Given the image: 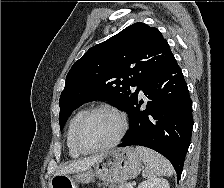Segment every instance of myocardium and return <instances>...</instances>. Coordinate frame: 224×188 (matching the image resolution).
Masks as SVG:
<instances>
[{"label":"myocardium","instance_id":"obj_1","mask_svg":"<svg viewBox=\"0 0 224 188\" xmlns=\"http://www.w3.org/2000/svg\"><path fill=\"white\" fill-rule=\"evenodd\" d=\"M96 112H108L111 113L113 115H115L119 122H120V130L117 134V136L109 143L99 146V147H94V148H89L86 147L82 144L81 140H80V131L81 128L83 126V124L85 123V121L94 113ZM128 129V119L127 116L125 115L124 112H122L121 110L109 106V105H98L95 106L93 108H90L89 110L85 111L82 116L79 118L75 128H74V133H73V140H74V144L76 146V148L82 152V153H96V152H101L107 149H110L114 146H116L124 137L125 133L127 132Z\"/></svg>","mask_w":224,"mask_h":188}]
</instances>
